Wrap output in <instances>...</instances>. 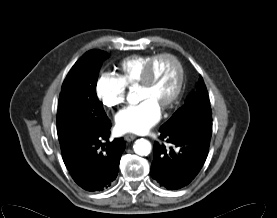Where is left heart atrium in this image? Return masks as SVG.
Wrapping results in <instances>:
<instances>
[{
  "mask_svg": "<svg viewBox=\"0 0 277 218\" xmlns=\"http://www.w3.org/2000/svg\"><path fill=\"white\" fill-rule=\"evenodd\" d=\"M160 114L159 104L146 98L121 110L116 116V128L120 132H143L159 120Z\"/></svg>",
  "mask_w": 277,
  "mask_h": 218,
  "instance_id": "39dd6f15",
  "label": "left heart atrium"
}]
</instances>
